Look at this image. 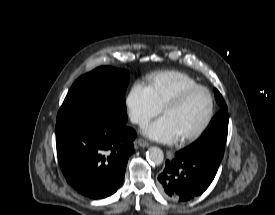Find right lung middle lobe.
Returning a JSON list of instances; mask_svg holds the SVG:
<instances>
[{
	"label": "right lung middle lobe",
	"instance_id": "right-lung-middle-lobe-1",
	"mask_svg": "<svg viewBox=\"0 0 275 215\" xmlns=\"http://www.w3.org/2000/svg\"><path fill=\"white\" fill-rule=\"evenodd\" d=\"M129 71L98 67L78 78L57 115L56 125L83 122L99 116L127 121L125 92Z\"/></svg>",
	"mask_w": 275,
	"mask_h": 215
}]
</instances>
